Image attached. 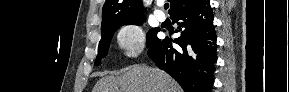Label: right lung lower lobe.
Returning <instances> with one entry per match:
<instances>
[{
	"label": "right lung lower lobe",
	"instance_id": "right-lung-lower-lobe-1",
	"mask_svg": "<svg viewBox=\"0 0 289 92\" xmlns=\"http://www.w3.org/2000/svg\"><path fill=\"white\" fill-rule=\"evenodd\" d=\"M171 19L181 30V36L174 40L179 47H172L168 39L156 38L148 56L185 92H211L217 53L210 1L202 0L192 8L178 11Z\"/></svg>",
	"mask_w": 289,
	"mask_h": 92
}]
</instances>
